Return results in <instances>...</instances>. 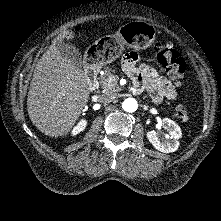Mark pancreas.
Masks as SVG:
<instances>
[{
	"instance_id": "cf45deb5",
	"label": "pancreas",
	"mask_w": 221,
	"mask_h": 221,
	"mask_svg": "<svg viewBox=\"0 0 221 221\" xmlns=\"http://www.w3.org/2000/svg\"><path fill=\"white\" fill-rule=\"evenodd\" d=\"M115 71L110 67H105L103 73L101 74L99 78V83L104 91L106 92H118L121 89L117 85L118 77H115V80L112 82H109V78L113 76V73Z\"/></svg>"
}]
</instances>
